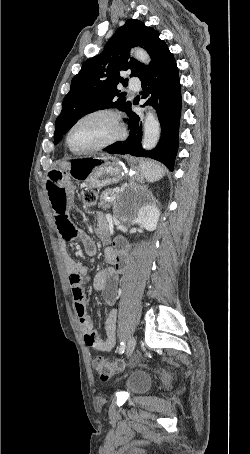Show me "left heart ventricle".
<instances>
[{"mask_svg": "<svg viewBox=\"0 0 250 454\" xmlns=\"http://www.w3.org/2000/svg\"><path fill=\"white\" fill-rule=\"evenodd\" d=\"M115 128L112 120L107 116H95L80 123L70 137L74 149H86L95 146L112 137Z\"/></svg>", "mask_w": 250, "mask_h": 454, "instance_id": "left-heart-ventricle-1", "label": "left heart ventricle"}]
</instances>
